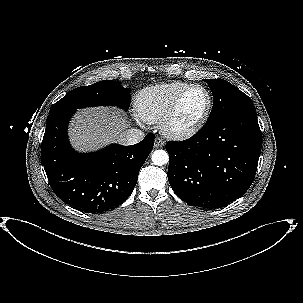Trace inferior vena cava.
I'll use <instances>...</instances> for the list:
<instances>
[{
	"mask_svg": "<svg viewBox=\"0 0 303 303\" xmlns=\"http://www.w3.org/2000/svg\"><path fill=\"white\" fill-rule=\"evenodd\" d=\"M144 137L145 134L142 130L131 128L121 134L120 140L124 145H134L142 141Z\"/></svg>",
	"mask_w": 303,
	"mask_h": 303,
	"instance_id": "inferior-vena-cava-1",
	"label": "inferior vena cava"
}]
</instances>
